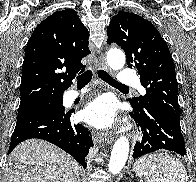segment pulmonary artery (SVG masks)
Wrapping results in <instances>:
<instances>
[{
    "label": "pulmonary artery",
    "instance_id": "e3ab8cb5",
    "mask_svg": "<svg viewBox=\"0 0 196 182\" xmlns=\"http://www.w3.org/2000/svg\"><path fill=\"white\" fill-rule=\"evenodd\" d=\"M119 82L125 86L127 85H137L138 82V77L135 72L130 71V70H123L119 74ZM86 92V89L83 91H76L72 90L70 92L71 98H76L77 96L83 94Z\"/></svg>",
    "mask_w": 196,
    "mask_h": 182
}]
</instances>
